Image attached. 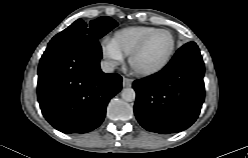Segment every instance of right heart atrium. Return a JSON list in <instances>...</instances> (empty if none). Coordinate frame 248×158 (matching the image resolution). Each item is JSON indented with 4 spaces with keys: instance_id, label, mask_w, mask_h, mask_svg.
<instances>
[{
    "instance_id": "1",
    "label": "right heart atrium",
    "mask_w": 248,
    "mask_h": 158,
    "mask_svg": "<svg viewBox=\"0 0 248 158\" xmlns=\"http://www.w3.org/2000/svg\"><path fill=\"white\" fill-rule=\"evenodd\" d=\"M100 50L108 65L115 67L124 61V55L119 51L111 39L105 38L101 41Z\"/></svg>"
}]
</instances>
